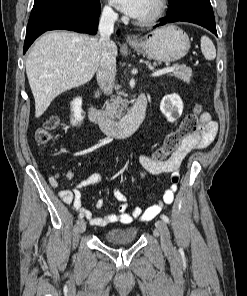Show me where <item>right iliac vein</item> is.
<instances>
[{"instance_id":"obj_1","label":"right iliac vein","mask_w":247,"mask_h":296,"mask_svg":"<svg viewBox=\"0 0 247 296\" xmlns=\"http://www.w3.org/2000/svg\"><path fill=\"white\" fill-rule=\"evenodd\" d=\"M78 228L80 232H84L86 230V222L83 219L78 221Z\"/></svg>"}]
</instances>
